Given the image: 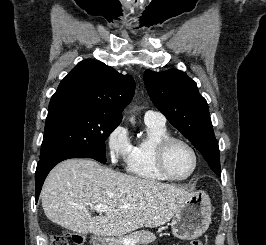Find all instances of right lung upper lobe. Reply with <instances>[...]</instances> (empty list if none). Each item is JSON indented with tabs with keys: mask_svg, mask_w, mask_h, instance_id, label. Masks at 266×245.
Segmentation results:
<instances>
[{
	"mask_svg": "<svg viewBox=\"0 0 266 245\" xmlns=\"http://www.w3.org/2000/svg\"><path fill=\"white\" fill-rule=\"evenodd\" d=\"M134 90L131 76L118 73L101 61L86 59L62 80L49 103L48 116L87 109L122 118Z\"/></svg>",
	"mask_w": 266,
	"mask_h": 245,
	"instance_id": "right-lung-upper-lobe-1",
	"label": "right lung upper lobe"
}]
</instances>
